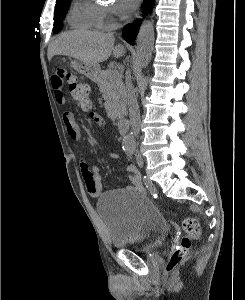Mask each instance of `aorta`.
<instances>
[{"label":"aorta","mask_w":245,"mask_h":300,"mask_svg":"<svg viewBox=\"0 0 245 300\" xmlns=\"http://www.w3.org/2000/svg\"><path fill=\"white\" fill-rule=\"evenodd\" d=\"M154 42V27L152 22L145 21L137 36V56L142 68H146L150 62ZM125 149L130 150L135 146V139L132 134H127L123 140Z\"/></svg>","instance_id":"obj_1"}]
</instances>
